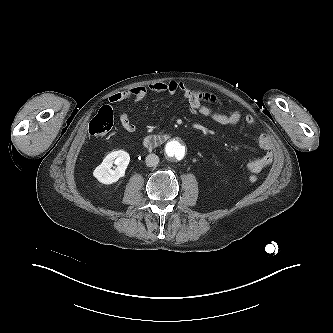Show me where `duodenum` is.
<instances>
[{
  "label": "duodenum",
  "instance_id": "obj_1",
  "mask_svg": "<svg viewBox=\"0 0 333 333\" xmlns=\"http://www.w3.org/2000/svg\"><path fill=\"white\" fill-rule=\"evenodd\" d=\"M165 140L166 135L164 134H152L144 139V145L146 148L152 149L162 144Z\"/></svg>",
  "mask_w": 333,
  "mask_h": 333
}]
</instances>
